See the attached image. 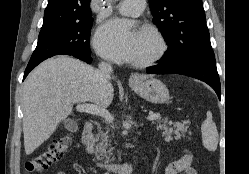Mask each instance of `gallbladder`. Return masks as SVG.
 I'll return each mask as SVG.
<instances>
[{"mask_svg":"<svg viewBox=\"0 0 249 174\" xmlns=\"http://www.w3.org/2000/svg\"><path fill=\"white\" fill-rule=\"evenodd\" d=\"M65 128L69 131H76L78 129V125L75 120L73 119H67L64 122Z\"/></svg>","mask_w":249,"mask_h":174,"instance_id":"gallbladder-1","label":"gallbladder"}]
</instances>
